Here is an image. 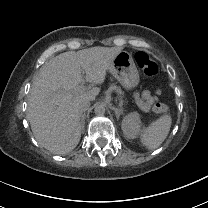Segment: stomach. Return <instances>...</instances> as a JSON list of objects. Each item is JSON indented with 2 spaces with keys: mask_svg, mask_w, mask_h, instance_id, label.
Wrapping results in <instances>:
<instances>
[{
  "mask_svg": "<svg viewBox=\"0 0 208 208\" xmlns=\"http://www.w3.org/2000/svg\"><path fill=\"white\" fill-rule=\"evenodd\" d=\"M112 75L127 90H135L140 84V74L130 53L121 51L109 67Z\"/></svg>",
  "mask_w": 208,
  "mask_h": 208,
  "instance_id": "1",
  "label": "stomach"
}]
</instances>
